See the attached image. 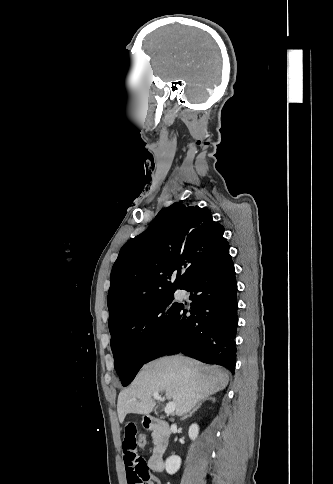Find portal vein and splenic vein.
Masks as SVG:
<instances>
[{
    "label": "portal vein and splenic vein",
    "instance_id": "18ae733b",
    "mask_svg": "<svg viewBox=\"0 0 333 484\" xmlns=\"http://www.w3.org/2000/svg\"><path fill=\"white\" fill-rule=\"evenodd\" d=\"M153 398H154V399H156V400L164 401V398H162V397L159 395V393H155V394L153 395ZM175 409H176V405H175V403H174V402H169V403L166 405V407H165L164 411H165V413H166L167 415H169V414L174 413V412H175Z\"/></svg>",
    "mask_w": 333,
    "mask_h": 484
}]
</instances>
